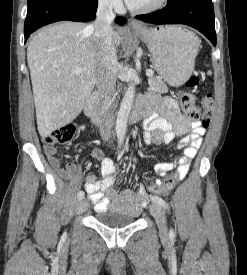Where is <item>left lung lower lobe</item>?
I'll list each match as a JSON object with an SVG mask.
<instances>
[{
  "label": "left lung lower lobe",
  "instance_id": "left-lung-lower-lobe-1",
  "mask_svg": "<svg viewBox=\"0 0 247 275\" xmlns=\"http://www.w3.org/2000/svg\"><path fill=\"white\" fill-rule=\"evenodd\" d=\"M136 19L154 24H185L203 33L215 46L214 8L211 0H175L156 12Z\"/></svg>",
  "mask_w": 247,
  "mask_h": 275
}]
</instances>
